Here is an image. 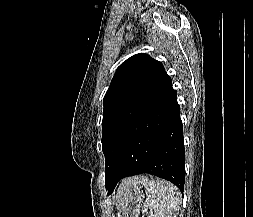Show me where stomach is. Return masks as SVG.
<instances>
[{
	"label": "stomach",
	"instance_id": "0dacf381",
	"mask_svg": "<svg viewBox=\"0 0 253 217\" xmlns=\"http://www.w3.org/2000/svg\"><path fill=\"white\" fill-rule=\"evenodd\" d=\"M145 204L146 199L141 187L135 188L126 198L117 201V217H139Z\"/></svg>",
	"mask_w": 253,
	"mask_h": 217
}]
</instances>
